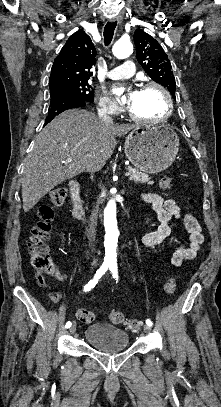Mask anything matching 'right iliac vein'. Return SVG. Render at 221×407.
<instances>
[{
  "mask_svg": "<svg viewBox=\"0 0 221 407\" xmlns=\"http://www.w3.org/2000/svg\"><path fill=\"white\" fill-rule=\"evenodd\" d=\"M76 331V323H73L69 329L70 334H74Z\"/></svg>",
  "mask_w": 221,
  "mask_h": 407,
  "instance_id": "1",
  "label": "right iliac vein"
}]
</instances>
